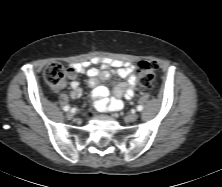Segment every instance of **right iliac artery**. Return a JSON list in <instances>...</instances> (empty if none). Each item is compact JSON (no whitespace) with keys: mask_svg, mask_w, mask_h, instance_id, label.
<instances>
[{"mask_svg":"<svg viewBox=\"0 0 222 187\" xmlns=\"http://www.w3.org/2000/svg\"><path fill=\"white\" fill-rule=\"evenodd\" d=\"M64 111H68L69 109H70V106L69 105H66V106H64Z\"/></svg>","mask_w":222,"mask_h":187,"instance_id":"82829eb1","label":"right iliac artery"}]
</instances>
